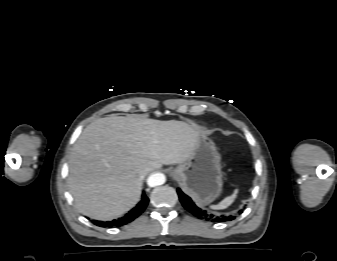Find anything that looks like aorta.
Wrapping results in <instances>:
<instances>
[{
	"label": "aorta",
	"mask_w": 337,
	"mask_h": 261,
	"mask_svg": "<svg viewBox=\"0 0 337 261\" xmlns=\"http://www.w3.org/2000/svg\"><path fill=\"white\" fill-rule=\"evenodd\" d=\"M165 181H166L165 175L163 173L156 172V173L151 174L148 177L147 184L150 187H156V186L164 184Z\"/></svg>",
	"instance_id": "762f6f07"
}]
</instances>
